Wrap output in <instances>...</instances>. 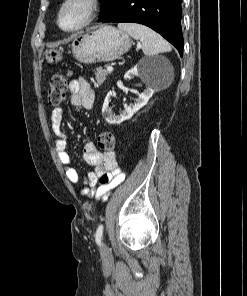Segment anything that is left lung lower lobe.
I'll use <instances>...</instances> for the list:
<instances>
[{"label": "left lung lower lobe", "instance_id": "obj_1", "mask_svg": "<svg viewBox=\"0 0 247 296\" xmlns=\"http://www.w3.org/2000/svg\"><path fill=\"white\" fill-rule=\"evenodd\" d=\"M102 22H133L146 25L177 48L183 55L181 0H112L99 16Z\"/></svg>", "mask_w": 247, "mask_h": 296}]
</instances>
